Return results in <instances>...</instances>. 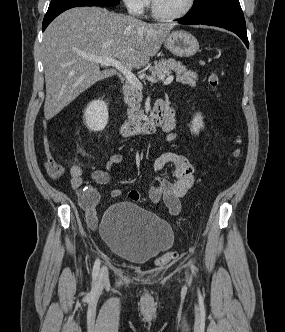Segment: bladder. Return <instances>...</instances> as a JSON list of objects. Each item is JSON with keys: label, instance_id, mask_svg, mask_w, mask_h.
Listing matches in <instances>:
<instances>
[{"label": "bladder", "instance_id": "31cf9c89", "mask_svg": "<svg viewBox=\"0 0 285 332\" xmlns=\"http://www.w3.org/2000/svg\"><path fill=\"white\" fill-rule=\"evenodd\" d=\"M100 234L116 257L133 264L159 256L174 240L173 230L166 221L127 201L115 202L105 210Z\"/></svg>", "mask_w": 285, "mask_h": 332}]
</instances>
